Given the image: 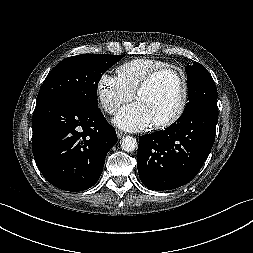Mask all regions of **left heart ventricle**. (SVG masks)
<instances>
[{
  "mask_svg": "<svg viewBox=\"0 0 253 253\" xmlns=\"http://www.w3.org/2000/svg\"><path fill=\"white\" fill-rule=\"evenodd\" d=\"M180 95L177 77L167 74L159 78L151 88L139 94L136 101L145 106L155 122L170 117L177 110Z\"/></svg>",
  "mask_w": 253,
  "mask_h": 253,
  "instance_id": "b2bd125f",
  "label": "left heart ventricle"
}]
</instances>
